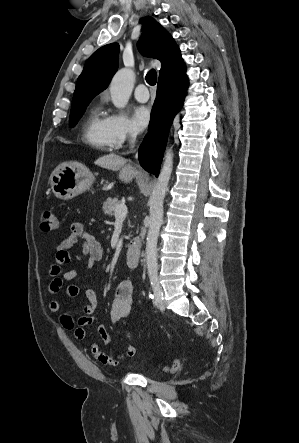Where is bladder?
<instances>
[{"label": "bladder", "mask_w": 299, "mask_h": 443, "mask_svg": "<svg viewBox=\"0 0 299 443\" xmlns=\"http://www.w3.org/2000/svg\"><path fill=\"white\" fill-rule=\"evenodd\" d=\"M145 376L149 379H155L156 378V374L152 373V372H146Z\"/></svg>", "instance_id": "31cf9c89"}]
</instances>
